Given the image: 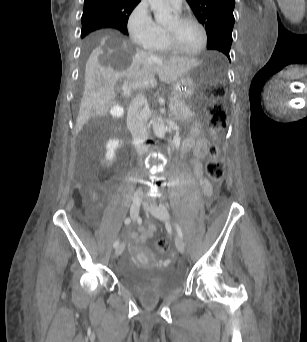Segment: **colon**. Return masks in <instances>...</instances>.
<instances>
[{"label": "colon", "mask_w": 307, "mask_h": 342, "mask_svg": "<svg viewBox=\"0 0 307 342\" xmlns=\"http://www.w3.org/2000/svg\"><path fill=\"white\" fill-rule=\"evenodd\" d=\"M206 93L211 94L208 99L209 107L207 108L210 125L215 130H223L228 125V118L221 101L224 94H229V87H207ZM213 139L214 144L209 148V158L206 162V173L210 179L219 181L224 176V165L219 159L218 138L214 136ZM157 248L160 253H165L169 249V244L166 240L161 239L157 243Z\"/></svg>", "instance_id": "5ec220e1"}]
</instances>
